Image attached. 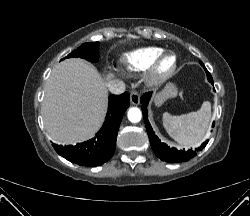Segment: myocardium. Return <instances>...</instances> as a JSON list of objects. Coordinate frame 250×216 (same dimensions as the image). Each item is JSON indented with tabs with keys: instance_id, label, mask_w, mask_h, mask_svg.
I'll return each instance as SVG.
<instances>
[{
	"instance_id": "1",
	"label": "myocardium",
	"mask_w": 250,
	"mask_h": 216,
	"mask_svg": "<svg viewBox=\"0 0 250 216\" xmlns=\"http://www.w3.org/2000/svg\"><path fill=\"white\" fill-rule=\"evenodd\" d=\"M172 58V65L171 67L166 70L162 71L160 69L161 63L166 58ZM178 65L177 56L173 52L164 51L158 56L154 58V60L151 62L150 66L146 70L145 79L147 84L150 87H160L165 82H167L175 73Z\"/></svg>"
}]
</instances>
